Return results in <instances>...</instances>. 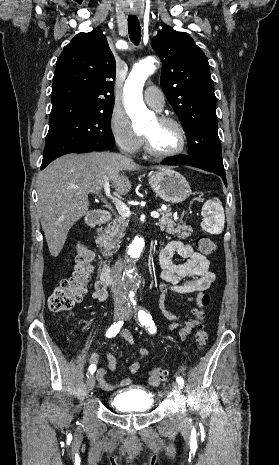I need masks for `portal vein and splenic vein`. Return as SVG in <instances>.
<instances>
[{"mask_svg":"<svg viewBox=\"0 0 279 465\" xmlns=\"http://www.w3.org/2000/svg\"><path fill=\"white\" fill-rule=\"evenodd\" d=\"M104 192H105L106 196L112 200V202L114 203L118 213L121 216L127 218V217H129L131 215L129 207L127 205H125L121 200H119L118 198L113 197L111 195L109 182H106L104 184ZM151 217L152 218H159L160 214L158 212H156V211H153V212H151Z\"/></svg>","mask_w":279,"mask_h":465,"instance_id":"obj_1","label":"portal vein and splenic vein"}]
</instances>
